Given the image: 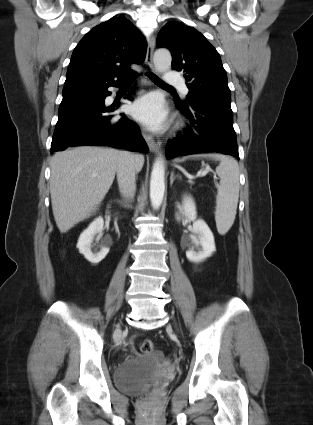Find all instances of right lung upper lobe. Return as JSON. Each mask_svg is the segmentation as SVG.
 Returning <instances> with one entry per match:
<instances>
[{
  "label": "right lung upper lobe",
  "instance_id": "1",
  "mask_svg": "<svg viewBox=\"0 0 313 425\" xmlns=\"http://www.w3.org/2000/svg\"><path fill=\"white\" fill-rule=\"evenodd\" d=\"M147 44L125 17L114 16L91 29L73 51L65 85L123 81L135 74L130 64H141Z\"/></svg>",
  "mask_w": 313,
  "mask_h": 425
}]
</instances>
